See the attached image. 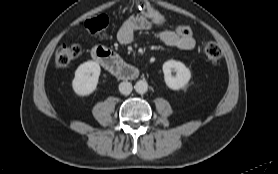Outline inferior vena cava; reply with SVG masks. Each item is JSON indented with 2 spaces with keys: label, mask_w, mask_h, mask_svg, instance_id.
I'll return each instance as SVG.
<instances>
[{
  "label": "inferior vena cava",
  "mask_w": 278,
  "mask_h": 174,
  "mask_svg": "<svg viewBox=\"0 0 278 174\" xmlns=\"http://www.w3.org/2000/svg\"><path fill=\"white\" fill-rule=\"evenodd\" d=\"M119 91L123 95H129L132 91V84L130 82H121L119 84Z\"/></svg>",
  "instance_id": "inferior-vena-cava-1"
}]
</instances>
